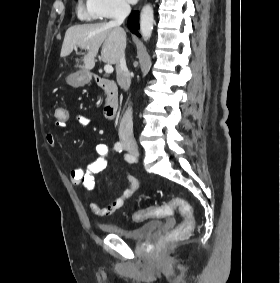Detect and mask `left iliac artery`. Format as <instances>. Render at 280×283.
Here are the masks:
<instances>
[{
  "label": "left iliac artery",
  "mask_w": 280,
  "mask_h": 283,
  "mask_svg": "<svg viewBox=\"0 0 280 283\" xmlns=\"http://www.w3.org/2000/svg\"><path fill=\"white\" fill-rule=\"evenodd\" d=\"M125 159H126L127 161H132V158H131L130 155H126V156H125Z\"/></svg>",
  "instance_id": "obj_1"
}]
</instances>
